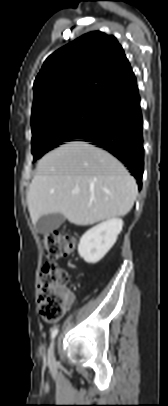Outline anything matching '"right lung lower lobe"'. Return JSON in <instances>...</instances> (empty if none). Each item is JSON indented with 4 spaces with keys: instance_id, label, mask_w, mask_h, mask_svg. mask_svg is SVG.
<instances>
[{
    "instance_id": "98d812e1",
    "label": "right lung lower lobe",
    "mask_w": 168,
    "mask_h": 406,
    "mask_svg": "<svg viewBox=\"0 0 168 406\" xmlns=\"http://www.w3.org/2000/svg\"><path fill=\"white\" fill-rule=\"evenodd\" d=\"M104 101V117L76 139L107 150L124 163L136 179L141 180L143 121L137 83L110 95Z\"/></svg>"
}]
</instances>
